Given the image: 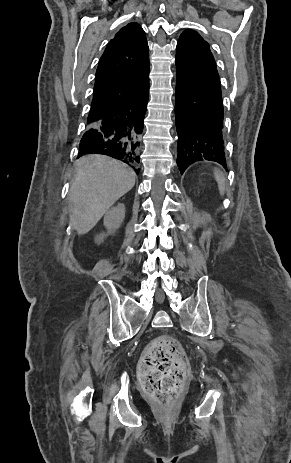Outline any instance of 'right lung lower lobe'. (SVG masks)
I'll return each instance as SVG.
<instances>
[{"mask_svg":"<svg viewBox=\"0 0 291 463\" xmlns=\"http://www.w3.org/2000/svg\"><path fill=\"white\" fill-rule=\"evenodd\" d=\"M149 96V83L126 98L99 121L88 124L79 155L103 154L131 166L138 174L140 138Z\"/></svg>","mask_w":291,"mask_h":463,"instance_id":"obj_1","label":"right lung lower lobe"}]
</instances>
